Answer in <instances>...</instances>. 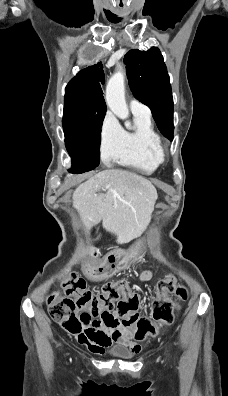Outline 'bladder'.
I'll return each mask as SVG.
<instances>
[{
  "label": "bladder",
  "mask_w": 228,
  "mask_h": 396,
  "mask_svg": "<svg viewBox=\"0 0 228 396\" xmlns=\"http://www.w3.org/2000/svg\"><path fill=\"white\" fill-rule=\"evenodd\" d=\"M109 353L117 358L130 359L134 356V351L126 346H115L109 350Z\"/></svg>",
  "instance_id": "1"
}]
</instances>
